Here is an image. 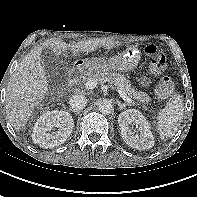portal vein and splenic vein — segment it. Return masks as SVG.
<instances>
[{
	"instance_id": "obj_1",
	"label": "portal vein and splenic vein",
	"mask_w": 197,
	"mask_h": 197,
	"mask_svg": "<svg viewBox=\"0 0 197 197\" xmlns=\"http://www.w3.org/2000/svg\"><path fill=\"white\" fill-rule=\"evenodd\" d=\"M98 82L96 80H89L85 83V87L87 89H94L97 86ZM118 93L122 97V99L127 103H134L131 98L127 96V94L121 89L118 88Z\"/></svg>"
}]
</instances>
